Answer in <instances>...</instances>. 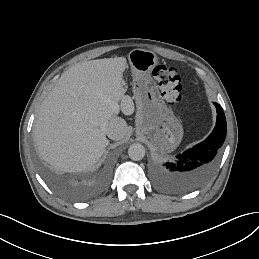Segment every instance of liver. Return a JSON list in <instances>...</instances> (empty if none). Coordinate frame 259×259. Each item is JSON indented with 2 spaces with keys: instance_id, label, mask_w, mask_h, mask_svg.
<instances>
[{
  "instance_id": "1",
  "label": "liver",
  "mask_w": 259,
  "mask_h": 259,
  "mask_svg": "<svg viewBox=\"0 0 259 259\" xmlns=\"http://www.w3.org/2000/svg\"><path fill=\"white\" fill-rule=\"evenodd\" d=\"M126 58L86 61L65 71L44 99L32 133L39 156L60 172L91 169L106 151L104 131L127 110ZM102 127V129H101Z\"/></svg>"
}]
</instances>
